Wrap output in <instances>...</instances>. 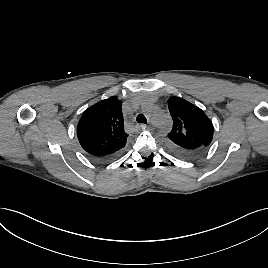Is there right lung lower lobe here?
<instances>
[{
    "label": "right lung lower lobe",
    "instance_id": "98d812e1",
    "mask_svg": "<svg viewBox=\"0 0 268 268\" xmlns=\"http://www.w3.org/2000/svg\"><path fill=\"white\" fill-rule=\"evenodd\" d=\"M118 153L107 155V156H92L93 158L100 160V161H108L113 159Z\"/></svg>",
    "mask_w": 268,
    "mask_h": 268
}]
</instances>
